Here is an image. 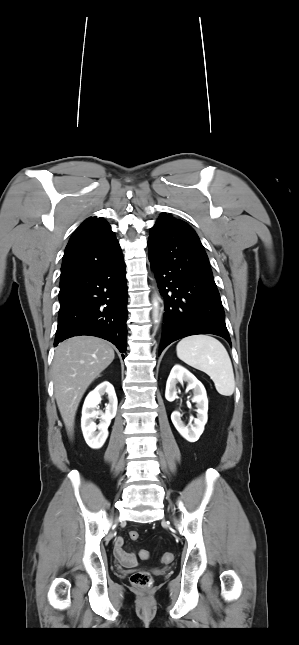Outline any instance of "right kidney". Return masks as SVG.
I'll return each mask as SVG.
<instances>
[{"label": "right kidney", "instance_id": "obj_1", "mask_svg": "<svg viewBox=\"0 0 299 645\" xmlns=\"http://www.w3.org/2000/svg\"><path fill=\"white\" fill-rule=\"evenodd\" d=\"M105 393L108 394L109 403L106 404L105 413H103L96 408L101 402V396ZM117 404L114 387L107 381L99 384L87 395L82 408L81 428L89 447L99 449L105 443L108 437V427L116 416ZM98 416L100 424L96 425L93 420Z\"/></svg>", "mask_w": 299, "mask_h": 645}]
</instances>
